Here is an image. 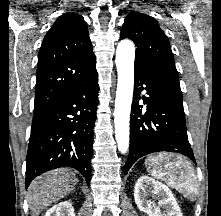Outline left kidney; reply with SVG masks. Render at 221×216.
Listing matches in <instances>:
<instances>
[{"mask_svg":"<svg viewBox=\"0 0 221 216\" xmlns=\"http://www.w3.org/2000/svg\"><path fill=\"white\" fill-rule=\"evenodd\" d=\"M148 192L158 195L160 199L158 207H155L151 200H147ZM134 199L139 210L148 216H183L172 191L163 183L147 175L137 180ZM160 206L164 209L163 213L160 211Z\"/></svg>","mask_w":221,"mask_h":216,"instance_id":"left-kidney-1","label":"left kidney"}]
</instances>
